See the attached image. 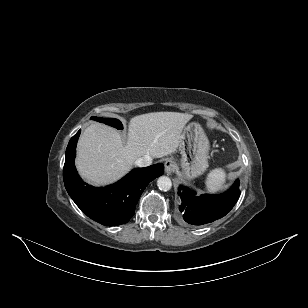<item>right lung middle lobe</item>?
I'll use <instances>...</instances> for the list:
<instances>
[{
    "mask_svg": "<svg viewBox=\"0 0 308 308\" xmlns=\"http://www.w3.org/2000/svg\"><path fill=\"white\" fill-rule=\"evenodd\" d=\"M92 119H94V120H96L98 122L110 125L112 127H115L118 130H122L123 129L122 123L119 120L115 119V118L92 117Z\"/></svg>",
    "mask_w": 308,
    "mask_h": 308,
    "instance_id": "obj_1",
    "label": "right lung middle lobe"
}]
</instances>
